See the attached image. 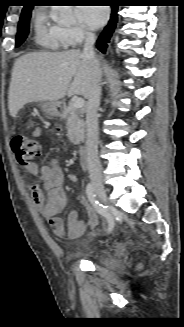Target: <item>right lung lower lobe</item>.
<instances>
[{
    "label": "right lung lower lobe",
    "instance_id": "right-lung-lower-lobe-1",
    "mask_svg": "<svg viewBox=\"0 0 184 327\" xmlns=\"http://www.w3.org/2000/svg\"><path fill=\"white\" fill-rule=\"evenodd\" d=\"M111 7H112V13H111V17L108 22V25L104 28L103 32L101 33V35L99 36V38L97 40V48H98V50H100L103 53L106 51L107 42H109L110 37L112 36V33L114 32V29L117 24L118 6L113 5Z\"/></svg>",
    "mask_w": 184,
    "mask_h": 327
}]
</instances>
